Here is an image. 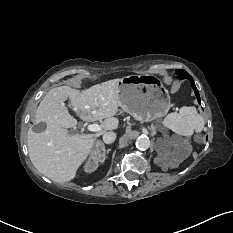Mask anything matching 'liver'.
Instances as JSON below:
<instances>
[{
    "mask_svg": "<svg viewBox=\"0 0 233 233\" xmlns=\"http://www.w3.org/2000/svg\"><path fill=\"white\" fill-rule=\"evenodd\" d=\"M119 81L109 80L82 91L60 86L46 93L35 113V123L45 122L46 129L35 132L30 127L27 135L30 160L40 173L58 183L75 178L78 168L92 152L100 132L118 127L119 120L114 116L120 106ZM67 99L81 120L93 122L104 119L101 131L70 135L67 129L76 128L77 120L65 106Z\"/></svg>",
    "mask_w": 233,
    "mask_h": 233,
    "instance_id": "1",
    "label": "liver"
}]
</instances>
